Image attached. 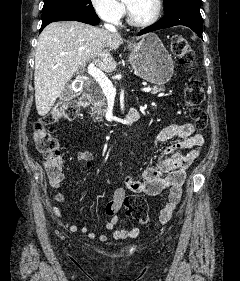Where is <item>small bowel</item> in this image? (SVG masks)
<instances>
[{"instance_id":"small-bowel-1","label":"small bowel","mask_w":240,"mask_h":281,"mask_svg":"<svg viewBox=\"0 0 240 281\" xmlns=\"http://www.w3.org/2000/svg\"><path fill=\"white\" fill-rule=\"evenodd\" d=\"M173 139H176V141L161 152L155 166L143 170L139 179L132 175L127 176L124 185L115 190L112 199L105 205L104 212L109 219L105 227L111 231V238L131 239L139 234V229L136 227L114 230L118 221V212L124 203L127 191L156 196L169 189L168 203L160 213L159 222L164 224L172 217L182 197V186L186 179V171L197 158L204 144L203 136L195 133L194 126L191 123L170 124L156 135L154 148ZM76 159L87 168H92L94 163V157L90 151H79L76 154ZM64 179L65 173L62 166L57 175L48 174L49 184L55 189L61 186ZM55 200L58 203H63L65 201L64 195L57 193ZM53 213L59 218L62 217L58 207H53ZM69 230L71 232L80 231L88 234L91 239L97 238L100 241H106L108 238L106 235L89 232L86 226L79 227L76 224H71Z\"/></svg>"}]
</instances>
